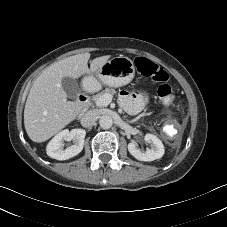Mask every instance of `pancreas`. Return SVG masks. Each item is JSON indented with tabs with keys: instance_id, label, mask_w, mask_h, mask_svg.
<instances>
[{
	"instance_id": "pancreas-1",
	"label": "pancreas",
	"mask_w": 227,
	"mask_h": 227,
	"mask_svg": "<svg viewBox=\"0 0 227 227\" xmlns=\"http://www.w3.org/2000/svg\"><path fill=\"white\" fill-rule=\"evenodd\" d=\"M116 91L114 89H110V88H106L105 90L101 91L100 93L96 94L93 96V101L96 103L97 99H99L100 97H102L105 94H115ZM98 106V105H97ZM98 107H102V106H98Z\"/></svg>"
}]
</instances>
